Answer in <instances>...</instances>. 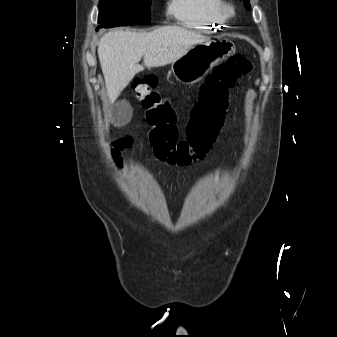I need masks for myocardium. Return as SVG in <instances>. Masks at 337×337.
Instances as JSON below:
<instances>
[{"instance_id": "f54148a6", "label": "myocardium", "mask_w": 337, "mask_h": 337, "mask_svg": "<svg viewBox=\"0 0 337 337\" xmlns=\"http://www.w3.org/2000/svg\"><path fill=\"white\" fill-rule=\"evenodd\" d=\"M222 9L227 19L232 18L235 15V7L230 3H224Z\"/></svg>"}]
</instances>
